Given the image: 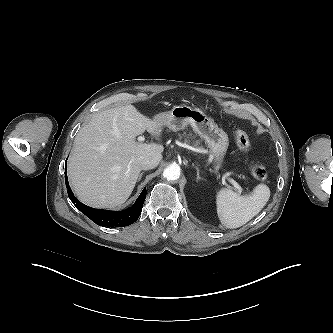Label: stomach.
<instances>
[{
	"instance_id": "0dacf381",
	"label": "stomach",
	"mask_w": 333,
	"mask_h": 333,
	"mask_svg": "<svg viewBox=\"0 0 333 333\" xmlns=\"http://www.w3.org/2000/svg\"><path fill=\"white\" fill-rule=\"evenodd\" d=\"M154 119L173 131H180L187 125H191L210 149L215 165L221 166L229 146L228 135L203 111L187 105H179L174 106L171 111L157 114Z\"/></svg>"
}]
</instances>
